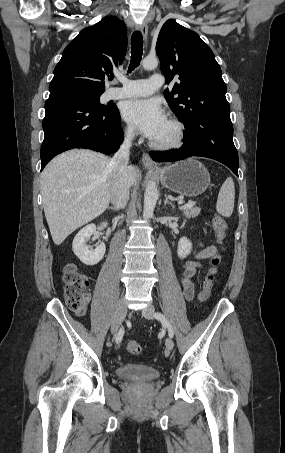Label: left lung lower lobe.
<instances>
[{
    "instance_id": "0a47b994",
    "label": "left lung lower lobe",
    "mask_w": 285,
    "mask_h": 453,
    "mask_svg": "<svg viewBox=\"0 0 285 453\" xmlns=\"http://www.w3.org/2000/svg\"><path fill=\"white\" fill-rule=\"evenodd\" d=\"M184 144L178 150L152 151L154 161H177L191 156L217 160L229 167L238 176V153L233 143L231 119L202 117L184 124Z\"/></svg>"
}]
</instances>
